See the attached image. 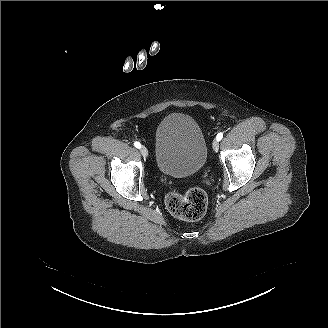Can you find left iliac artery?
Wrapping results in <instances>:
<instances>
[{
	"label": "left iliac artery",
	"mask_w": 328,
	"mask_h": 328,
	"mask_svg": "<svg viewBox=\"0 0 328 328\" xmlns=\"http://www.w3.org/2000/svg\"><path fill=\"white\" fill-rule=\"evenodd\" d=\"M223 138V133H218L217 134V136H216V139L218 140V141H220L221 139Z\"/></svg>",
	"instance_id": "obj_1"
}]
</instances>
